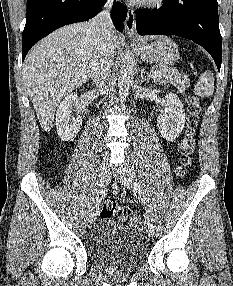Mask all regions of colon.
Segmentation results:
<instances>
[{
  "label": "colon",
  "mask_w": 233,
  "mask_h": 286,
  "mask_svg": "<svg viewBox=\"0 0 233 286\" xmlns=\"http://www.w3.org/2000/svg\"><path fill=\"white\" fill-rule=\"evenodd\" d=\"M188 106L187 127L185 135L179 144L180 162L183 168L191 163L192 155L195 149V133L199 123L200 105L198 99L189 95L186 99ZM183 174V170L179 171V175ZM117 217L121 221L128 222L134 228L142 227L141 219L134 215L128 208L117 207L113 200H107L100 210L102 219Z\"/></svg>",
  "instance_id": "colon-1"
}]
</instances>
